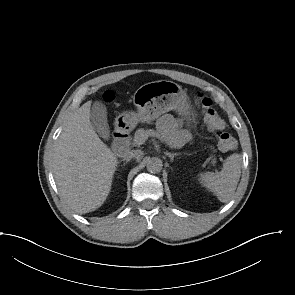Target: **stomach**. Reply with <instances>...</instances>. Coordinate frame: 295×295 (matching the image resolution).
Returning a JSON list of instances; mask_svg holds the SVG:
<instances>
[{
    "label": "stomach",
    "mask_w": 295,
    "mask_h": 295,
    "mask_svg": "<svg viewBox=\"0 0 295 295\" xmlns=\"http://www.w3.org/2000/svg\"><path fill=\"white\" fill-rule=\"evenodd\" d=\"M137 112H124L118 121L127 129H133L139 122H151L160 115L176 110L182 116L192 115L186 92L173 81L159 80L141 86L134 98Z\"/></svg>",
    "instance_id": "1"
}]
</instances>
